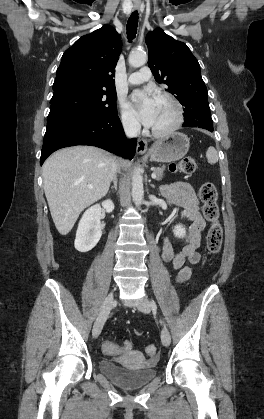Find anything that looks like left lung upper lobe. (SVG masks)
<instances>
[{"label":"left lung upper lobe","instance_id":"left-lung-upper-lobe-1","mask_svg":"<svg viewBox=\"0 0 264 419\" xmlns=\"http://www.w3.org/2000/svg\"><path fill=\"white\" fill-rule=\"evenodd\" d=\"M146 44L148 66L158 83L166 84L167 91L174 94L185 108L196 109L208 102L200 65L185 43L157 28L147 34Z\"/></svg>","mask_w":264,"mask_h":419}]
</instances>
